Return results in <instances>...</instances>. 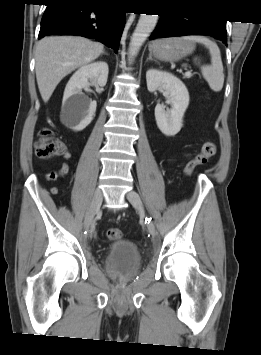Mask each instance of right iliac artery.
<instances>
[{
    "label": "right iliac artery",
    "instance_id": "right-iliac-artery-1",
    "mask_svg": "<svg viewBox=\"0 0 261 355\" xmlns=\"http://www.w3.org/2000/svg\"><path fill=\"white\" fill-rule=\"evenodd\" d=\"M93 229H94V224L92 225L91 231H93Z\"/></svg>",
    "mask_w": 261,
    "mask_h": 355
}]
</instances>
